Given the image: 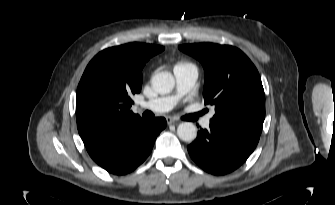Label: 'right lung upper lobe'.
<instances>
[{"mask_svg": "<svg viewBox=\"0 0 335 205\" xmlns=\"http://www.w3.org/2000/svg\"><path fill=\"white\" fill-rule=\"evenodd\" d=\"M164 47L128 43L99 52L76 92L78 132L85 146L113 140L143 121L130 107L141 91L142 68Z\"/></svg>", "mask_w": 335, "mask_h": 205, "instance_id": "1", "label": "right lung upper lobe"}]
</instances>
